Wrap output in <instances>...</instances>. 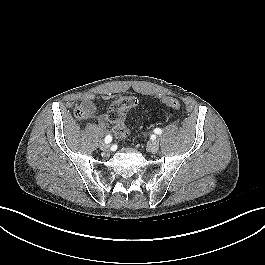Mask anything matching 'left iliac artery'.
<instances>
[{
    "label": "left iliac artery",
    "mask_w": 265,
    "mask_h": 265,
    "mask_svg": "<svg viewBox=\"0 0 265 265\" xmlns=\"http://www.w3.org/2000/svg\"><path fill=\"white\" fill-rule=\"evenodd\" d=\"M154 132H155L156 134H161V133H162V130H161L160 128H156V129L154 130Z\"/></svg>",
    "instance_id": "44dca946"
}]
</instances>
